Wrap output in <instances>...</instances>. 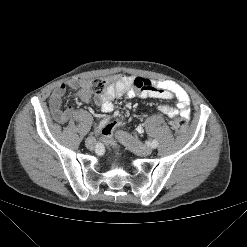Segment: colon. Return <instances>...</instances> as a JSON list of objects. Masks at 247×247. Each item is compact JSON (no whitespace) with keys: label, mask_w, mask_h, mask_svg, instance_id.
<instances>
[{"label":"colon","mask_w":247,"mask_h":247,"mask_svg":"<svg viewBox=\"0 0 247 247\" xmlns=\"http://www.w3.org/2000/svg\"><path fill=\"white\" fill-rule=\"evenodd\" d=\"M120 77H116L114 80H118ZM107 80L104 78H95L85 83L87 90L93 94L101 95L106 88ZM172 127L176 135H182L187 130V121L185 118L178 117L173 120ZM113 127L106 126L103 130L104 137H110Z\"/></svg>","instance_id":"1"}]
</instances>
